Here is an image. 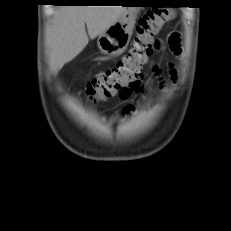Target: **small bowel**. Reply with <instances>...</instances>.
<instances>
[{"label":"small bowel","instance_id":"obj_1","mask_svg":"<svg viewBox=\"0 0 231 231\" xmlns=\"http://www.w3.org/2000/svg\"><path fill=\"white\" fill-rule=\"evenodd\" d=\"M170 47L171 49L175 52V53H179L180 51V46H179V39L177 36H172L170 38ZM153 72L156 76H158L160 74V70L158 69V67L154 66L153 67ZM171 76L173 79H175V71L173 69H171ZM161 84H163V82L161 81ZM143 90V84L142 82L136 81V82H132L130 84H127L126 86H124L119 92H118V96L121 100L123 101H129L131 99V97L134 94H138ZM133 110V106L131 104H128L125 108H124V113H130Z\"/></svg>","mask_w":231,"mask_h":231}]
</instances>
